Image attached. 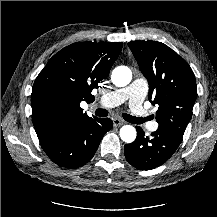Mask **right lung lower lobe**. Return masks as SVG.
Wrapping results in <instances>:
<instances>
[{
	"instance_id": "98d812e1",
	"label": "right lung lower lobe",
	"mask_w": 217,
	"mask_h": 217,
	"mask_svg": "<svg viewBox=\"0 0 217 217\" xmlns=\"http://www.w3.org/2000/svg\"><path fill=\"white\" fill-rule=\"evenodd\" d=\"M113 126L109 118H89L39 138L48 157L58 166L78 168L94 156L102 137Z\"/></svg>"
}]
</instances>
